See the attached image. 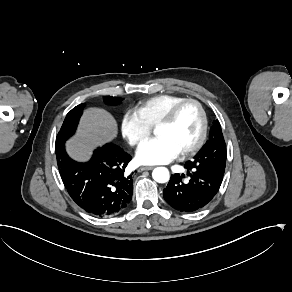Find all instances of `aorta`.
Masks as SVG:
<instances>
[{"mask_svg":"<svg viewBox=\"0 0 292 292\" xmlns=\"http://www.w3.org/2000/svg\"><path fill=\"white\" fill-rule=\"evenodd\" d=\"M153 179L158 183H166L169 181V171L165 167H157L152 172Z\"/></svg>","mask_w":292,"mask_h":292,"instance_id":"762f6f07","label":"aorta"}]
</instances>
